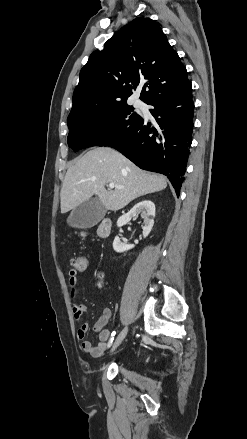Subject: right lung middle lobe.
I'll return each mask as SVG.
<instances>
[{
	"instance_id": "obj_1",
	"label": "right lung middle lobe",
	"mask_w": 247,
	"mask_h": 439,
	"mask_svg": "<svg viewBox=\"0 0 247 439\" xmlns=\"http://www.w3.org/2000/svg\"><path fill=\"white\" fill-rule=\"evenodd\" d=\"M141 119L126 100L89 109L68 117V145L75 152L91 146H108L123 137Z\"/></svg>"
}]
</instances>
